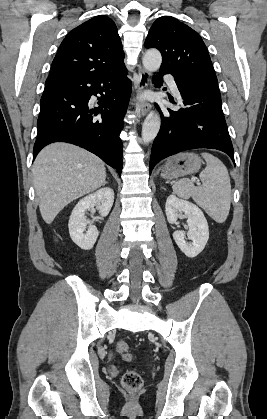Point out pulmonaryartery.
<instances>
[{
    "instance_id": "e3ab8cb5",
    "label": "pulmonary artery",
    "mask_w": 267,
    "mask_h": 419,
    "mask_svg": "<svg viewBox=\"0 0 267 419\" xmlns=\"http://www.w3.org/2000/svg\"><path fill=\"white\" fill-rule=\"evenodd\" d=\"M165 79H166L170 89L172 90V92L175 95H179L178 87L176 85V82H175L174 78L171 75H166Z\"/></svg>"
}]
</instances>
